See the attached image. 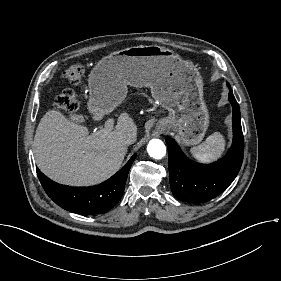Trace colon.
<instances>
[{
	"label": "colon",
	"instance_id": "obj_1",
	"mask_svg": "<svg viewBox=\"0 0 281 281\" xmlns=\"http://www.w3.org/2000/svg\"><path fill=\"white\" fill-rule=\"evenodd\" d=\"M84 73V66L75 62L69 65L63 73L66 82H78ZM56 109L65 112H75L78 108V99L74 92L65 90L59 94L55 100Z\"/></svg>",
	"mask_w": 281,
	"mask_h": 281
}]
</instances>
